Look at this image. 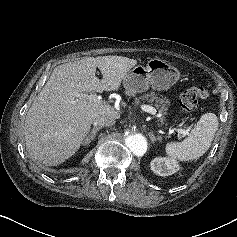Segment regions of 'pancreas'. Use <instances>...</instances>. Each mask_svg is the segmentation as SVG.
I'll return each mask as SVG.
<instances>
[{"mask_svg":"<svg viewBox=\"0 0 237 237\" xmlns=\"http://www.w3.org/2000/svg\"><path fill=\"white\" fill-rule=\"evenodd\" d=\"M136 102L138 101H148L150 103L155 102L154 106L157 108L158 112L166 115L168 111L169 101L168 99L164 98L162 95L156 94L155 92H150L147 94H143L135 99ZM160 121L164 123V117L160 118Z\"/></svg>","mask_w":237,"mask_h":237,"instance_id":"1","label":"pancreas"}]
</instances>
